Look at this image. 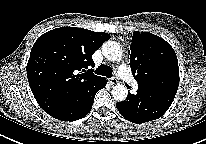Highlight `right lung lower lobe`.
Returning <instances> with one entry per match:
<instances>
[{
    "mask_svg": "<svg viewBox=\"0 0 206 144\" xmlns=\"http://www.w3.org/2000/svg\"><path fill=\"white\" fill-rule=\"evenodd\" d=\"M106 83L107 80L102 77L78 99L49 115L62 121H75L83 118L90 112L97 91L104 88Z\"/></svg>",
    "mask_w": 206,
    "mask_h": 144,
    "instance_id": "98d812e1",
    "label": "right lung lower lobe"
}]
</instances>
